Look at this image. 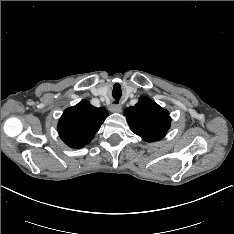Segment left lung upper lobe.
<instances>
[{
  "mask_svg": "<svg viewBox=\"0 0 234 234\" xmlns=\"http://www.w3.org/2000/svg\"><path fill=\"white\" fill-rule=\"evenodd\" d=\"M131 130L148 142L162 139L170 128L171 118L167 110L147 97L124 111Z\"/></svg>",
  "mask_w": 234,
  "mask_h": 234,
  "instance_id": "left-lung-upper-lobe-1",
  "label": "left lung upper lobe"
}]
</instances>
